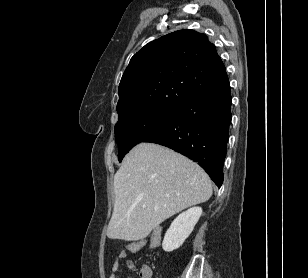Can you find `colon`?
Instances as JSON below:
<instances>
[{
	"mask_svg": "<svg viewBox=\"0 0 308 278\" xmlns=\"http://www.w3.org/2000/svg\"><path fill=\"white\" fill-rule=\"evenodd\" d=\"M166 232L165 230H161V227H155L154 228V235H151L149 237L150 245L152 247H160L161 241L157 240L158 237H165ZM143 246L142 240H130L128 243L124 244V249L127 251V253H138L139 250H141V247Z\"/></svg>",
	"mask_w": 308,
	"mask_h": 278,
	"instance_id": "colon-1",
	"label": "colon"
}]
</instances>
